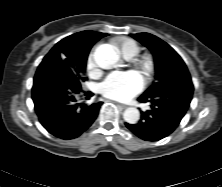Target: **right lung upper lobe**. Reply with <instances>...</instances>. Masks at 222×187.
Segmentation results:
<instances>
[{"instance_id": "cb5924a9", "label": "right lung upper lobe", "mask_w": 222, "mask_h": 187, "mask_svg": "<svg viewBox=\"0 0 222 187\" xmlns=\"http://www.w3.org/2000/svg\"><path fill=\"white\" fill-rule=\"evenodd\" d=\"M105 36H107L106 33L95 31L78 32L59 41L48 54L52 55L78 51L79 53H86L88 55L93 44Z\"/></svg>"}]
</instances>
